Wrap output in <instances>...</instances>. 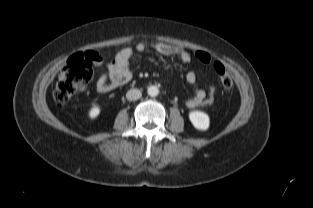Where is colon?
<instances>
[{"mask_svg":"<svg viewBox=\"0 0 313 208\" xmlns=\"http://www.w3.org/2000/svg\"><path fill=\"white\" fill-rule=\"evenodd\" d=\"M97 55L95 52L87 51L76 53L67 60L58 76L53 92V98L58 107L66 106L74 94L89 83L93 76V63L97 59ZM190 57L192 61L202 64H208L211 61V57L207 52L199 50L190 52ZM213 67L221 85L225 89H230L233 85V80L224 65L220 62H215ZM214 99L215 87L210 86L203 105H211Z\"/></svg>","mask_w":313,"mask_h":208,"instance_id":"obj_1","label":"colon"}]
</instances>
